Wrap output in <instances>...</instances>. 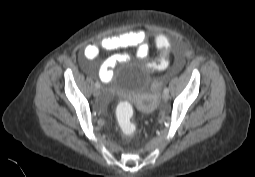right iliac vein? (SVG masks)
Masks as SVG:
<instances>
[{
    "label": "right iliac vein",
    "mask_w": 255,
    "mask_h": 177,
    "mask_svg": "<svg viewBox=\"0 0 255 177\" xmlns=\"http://www.w3.org/2000/svg\"><path fill=\"white\" fill-rule=\"evenodd\" d=\"M99 94H100V90H99L98 88H95V89L93 90V95H94L95 97H98Z\"/></svg>",
    "instance_id": "obj_1"
}]
</instances>
